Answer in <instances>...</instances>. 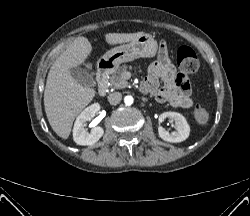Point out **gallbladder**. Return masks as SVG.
<instances>
[{
  "mask_svg": "<svg viewBox=\"0 0 250 216\" xmlns=\"http://www.w3.org/2000/svg\"><path fill=\"white\" fill-rule=\"evenodd\" d=\"M71 74L74 77V79L81 85L93 86L95 84V81L92 78V76L87 71H85L80 67L73 68L71 70Z\"/></svg>",
  "mask_w": 250,
  "mask_h": 216,
  "instance_id": "obj_1",
  "label": "gallbladder"
}]
</instances>
